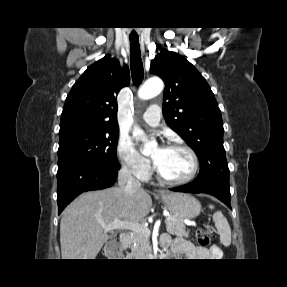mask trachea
Returning <instances> with one entry per match:
<instances>
[{
  "instance_id": "3493384b",
  "label": "trachea",
  "mask_w": 287,
  "mask_h": 287,
  "mask_svg": "<svg viewBox=\"0 0 287 287\" xmlns=\"http://www.w3.org/2000/svg\"><path fill=\"white\" fill-rule=\"evenodd\" d=\"M130 63L133 83L138 86L144 76L138 36L130 37Z\"/></svg>"
}]
</instances>
